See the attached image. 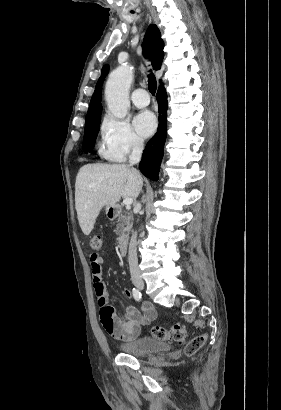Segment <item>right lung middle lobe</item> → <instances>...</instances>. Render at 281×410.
<instances>
[{"label":"right lung middle lobe","mask_w":281,"mask_h":410,"mask_svg":"<svg viewBox=\"0 0 281 410\" xmlns=\"http://www.w3.org/2000/svg\"><path fill=\"white\" fill-rule=\"evenodd\" d=\"M100 128V116L85 122V134L83 139L84 152L93 149Z\"/></svg>","instance_id":"dd1d6c3e"}]
</instances>
